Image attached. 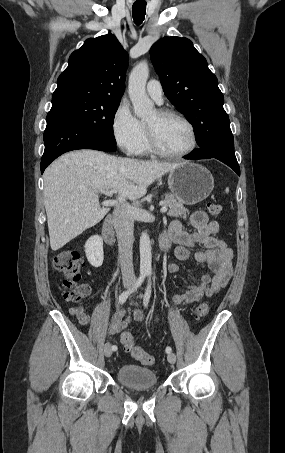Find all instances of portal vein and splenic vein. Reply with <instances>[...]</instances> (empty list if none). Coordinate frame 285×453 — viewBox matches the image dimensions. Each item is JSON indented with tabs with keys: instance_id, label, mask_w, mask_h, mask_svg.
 Returning <instances> with one entry per match:
<instances>
[{
	"instance_id": "portal-vein-and-splenic-vein-1",
	"label": "portal vein and splenic vein",
	"mask_w": 285,
	"mask_h": 453,
	"mask_svg": "<svg viewBox=\"0 0 285 453\" xmlns=\"http://www.w3.org/2000/svg\"><path fill=\"white\" fill-rule=\"evenodd\" d=\"M99 192L102 193V194H105L106 196H109V197L113 196V193H115L114 190H109V191H99ZM115 203H116V201L112 200V201H107V202H105L104 204H105V205H113V204H115ZM167 210H168L167 206L163 203L160 211H161L162 213H165V212H167Z\"/></svg>"
}]
</instances>
